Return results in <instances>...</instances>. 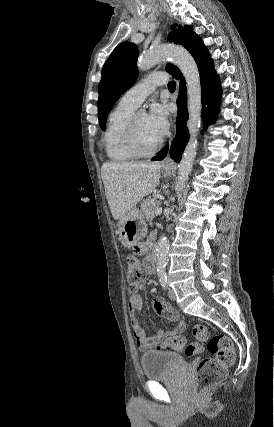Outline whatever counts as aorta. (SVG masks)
Masks as SVG:
<instances>
[{
    "label": "aorta",
    "mask_w": 274,
    "mask_h": 427,
    "mask_svg": "<svg viewBox=\"0 0 274 427\" xmlns=\"http://www.w3.org/2000/svg\"><path fill=\"white\" fill-rule=\"evenodd\" d=\"M171 58L173 63L181 70L187 87L188 113L187 128L189 141L186 144L181 161L178 164V181L176 193H180L185 186L192 170L197 153V137L201 126V83L197 64L191 54L181 46H159L150 49L139 56L137 67L146 71L160 61ZM169 241L163 235L159 238L156 247L157 272L161 280L166 279L165 267L168 263Z\"/></svg>",
    "instance_id": "aorta-1"
}]
</instances>
